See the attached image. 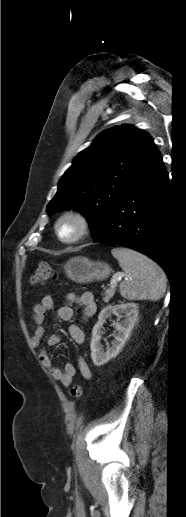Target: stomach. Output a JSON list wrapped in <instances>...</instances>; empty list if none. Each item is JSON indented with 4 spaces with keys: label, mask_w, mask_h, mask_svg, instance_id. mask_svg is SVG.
I'll return each instance as SVG.
<instances>
[{
    "label": "stomach",
    "mask_w": 186,
    "mask_h": 517,
    "mask_svg": "<svg viewBox=\"0 0 186 517\" xmlns=\"http://www.w3.org/2000/svg\"><path fill=\"white\" fill-rule=\"evenodd\" d=\"M64 271L69 279L76 283H88L94 280H104L111 268L105 262L91 261L86 257H74L64 265Z\"/></svg>",
    "instance_id": "0dacf381"
}]
</instances>
